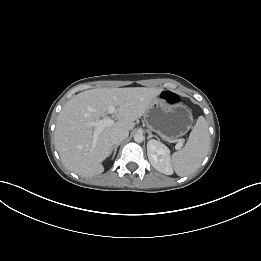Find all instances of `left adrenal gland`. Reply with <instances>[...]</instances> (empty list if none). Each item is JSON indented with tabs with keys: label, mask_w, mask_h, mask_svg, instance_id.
<instances>
[{
	"label": "left adrenal gland",
	"mask_w": 261,
	"mask_h": 261,
	"mask_svg": "<svg viewBox=\"0 0 261 261\" xmlns=\"http://www.w3.org/2000/svg\"><path fill=\"white\" fill-rule=\"evenodd\" d=\"M147 132H148V137H147V139H150V138L154 137V135H153L149 130H148Z\"/></svg>",
	"instance_id": "obj_1"
}]
</instances>
